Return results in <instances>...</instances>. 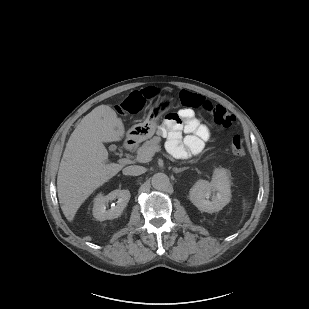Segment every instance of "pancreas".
Returning <instances> with one entry per match:
<instances>
[{
  "mask_svg": "<svg viewBox=\"0 0 309 309\" xmlns=\"http://www.w3.org/2000/svg\"><path fill=\"white\" fill-rule=\"evenodd\" d=\"M161 141V138L158 136H154L152 139L149 141H146L141 147L137 149V156H139L141 153L149 150V149H154L159 147V143ZM140 162H146L144 160H138Z\"/></svg>",
  "mask_w": 309,
  "mask_h": 309,
  "instance_id": "obj_1",
  "label": "pancreas"
}]
</instances>
